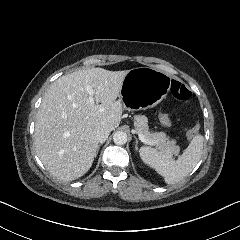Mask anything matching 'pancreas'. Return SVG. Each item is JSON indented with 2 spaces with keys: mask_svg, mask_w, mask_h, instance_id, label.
I'll return each instance as SVG.
<instances>
[{
  "mask_svg": "<svg viewBox=\"0 0 240 240\" xmlns=\"http://www.w3.org/2000/svg\"><path fill=\"white\" fill-rule=\"evenodd\" d=\"M134 126L138 133L145 135V138L150 141V145L155 146L159 151L167 154L170 157L177 156L180 152V147L176 145V140H171L164 132L149 131L148 118L144 115L135 116Z\"/></svg>",
  "mask_w": 240,
  "mask_h": 240,
  "instance_id": "obj_1",
  "label": "pancreas"
}]
</instances>
